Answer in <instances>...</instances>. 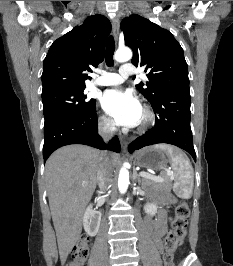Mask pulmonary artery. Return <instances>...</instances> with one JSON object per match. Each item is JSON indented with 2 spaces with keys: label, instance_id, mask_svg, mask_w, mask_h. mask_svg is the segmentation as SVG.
<instances>
[{
  "label": "pulmonary artery",
  "instance_id": "1",
  "mask_svg": "<svg viewBox=\"0 0 233 266\" xmlns=\"http://www.w3.org/2000/svg\"><path fill=\"white\" fill-rule=\"evenodd\" d=\"M135 71L132 65L125 64L120 68L119 73L103 72L94 82V85L112 86L122 83L129 76L134 75Z\"/></svg>",
  "mask_w": 233,
  "mask_h": 266
}]
</instances>
